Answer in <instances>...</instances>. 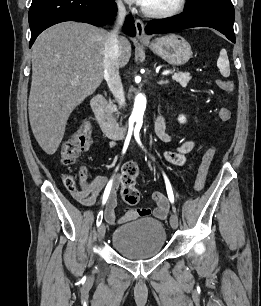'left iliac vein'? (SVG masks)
<instances>
[{
  "label": "left iliac vein",
  "mask_w": 261,
  "mask_h": 306,
  "mask_svg": "<svg viewBox=\"0 0 261 306\" xmlns=\"http://www.w3.org/2000/svg\"><path fill=\"white\" fill-rule=\"evenodd\" d=\"M170 225L173 229H176L178 227V215L176 213H173L170 217Z\"/></svg>",
  "instance_id": "1"
}]
</instances>
